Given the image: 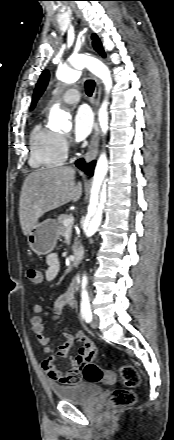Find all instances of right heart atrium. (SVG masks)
<instances>
[{"label": "right heart atrium", "instance_id": "d8ad5b80", "mask_svg": "<svg viewBox=\"0 0 174 440\" xmlns=\"http://www.w3.org/2000/svg\"><path fill=\"white\" fill-rule=\"evenodd\" d=\"M62 144H63V147L65 148V150H66V152H67V149L69 148V141L65 138V137H63L62 136Z\"/></svg>", "mask_w": 174, "mask_h": 440}]
</instances>
